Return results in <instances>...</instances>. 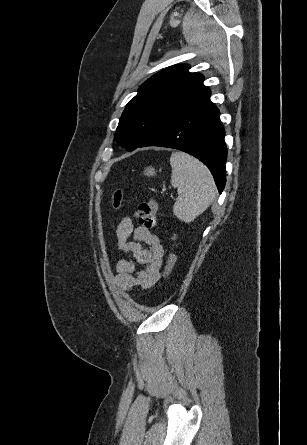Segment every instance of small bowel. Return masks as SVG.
I'll list each match as a JSON object with an SVG mask.
<instances>
[{
    "label": "small bowel",
    "mask_w": 307,
    "mask_h": 445,
    "mask_svg": "<svg viewBox=\"0 0 307 445\" xmlns=\"http://www.w3.org/2000/svg\"><path fill=\"white\" fill-rule=\"evenodd\" d=\"M140 216L137 208L133 215L124 217L117 227L118 250L131 254L135 260L121 259L115 264L117 284L125 292L137 286L148 289L160 278L164 248L160 239L147 228H134L133 220ZM132 234L133 240H129ZM136 263L144 268L136 270Z\"/></svg>",
    "instance_id": "c3829d8e"
}]
</instances>
